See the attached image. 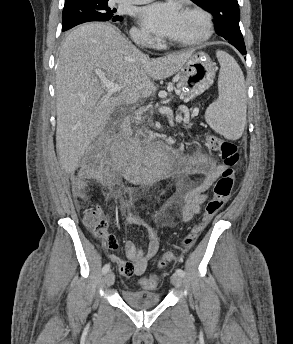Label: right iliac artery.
I'll return each mask as SVG.
<instances>
[{"instance_id": "obj_1", "label": "right iliac artery", "mask_w": 293, "mask_h": 344, "mask_svg": "<svg viewBox=\"0 0 293 344\" xmlns=\"http://www.w3.org/2000/svg\"><path fill=\"white\" fill-rule=\"evenodd\" d=\"M109 270H110V264H105L102 269V273L106 274Z\"/></svg>"}]
</instances>
